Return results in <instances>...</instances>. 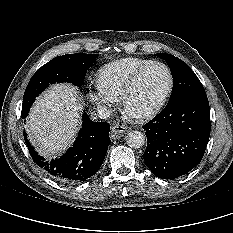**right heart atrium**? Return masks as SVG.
<instances>
[{
    "label": "right heart atrium",
    "mask_w": 233,
    "mask_h": 233,
    "mask_svg": "<svg viewBox=\"0 0 233 233\" xmlns=\"http://www.w3.org/2000/svg\"><path fill=\"white\" fill-rule=\"evenodd\" d=\"M88 100L102 113L110 112L117 104V98L95 82L87 93Z\"/></svg>",
    "instance_id": "1"
}]
</instances>
